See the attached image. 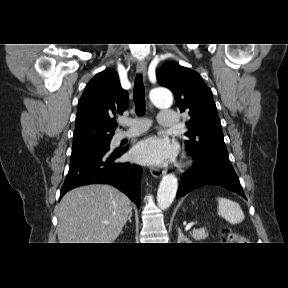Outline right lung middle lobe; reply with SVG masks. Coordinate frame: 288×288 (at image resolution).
<instances>
[{"mask_svg": "<svg viewBox=\"0 0 288 288\" xmlns=\"http://www.w3.org/2000/svg\"><path fill=\"white\" fill-rule=\"evenodd\" d=\"M110 141L111 140H108L106 142H103V143H100L97 145H93V146L72 149L71 161L82 159V158H84L90 154L96 153V152L108 150L109 145H110Z\"/></svg>", "mask_w": 288, "mask_h": 288, "instance_id": "dd1d6c3e", "label": "right lung middle lobe"}]
</instances>
